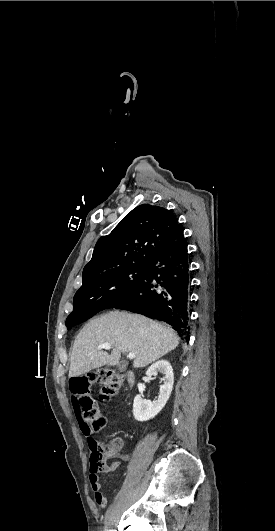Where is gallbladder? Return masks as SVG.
Listing matches in <instances>:
<instances>
[{"label":"gallbladder","mask_w":275,"mask_h":531,"mask_svg":"<svg viewBox=\"0 0 275 531\" xmlns=\"http://www.w3.org/2000/svg\"><path fill=\"white\" fill-rule=\"evenodd\" d=\"M126 367H127V361H121V363L117 365V371H120V373H124V371H126Z\"/></svg>","instance_id":"1"}]
</instances>
